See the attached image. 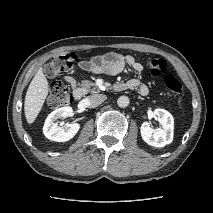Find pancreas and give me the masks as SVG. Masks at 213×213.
Masks as SVG:
<instances>
[{"label": "pancreas", "instance_id": "1", "mask_svg": "<svg viewBox=\"0 0 213 213\" xmlns=\"http://www.w3.org/2000/svg\"><path fill=\"white\" fill-rule=\"evenodd\" d=\"M81 88L85 94H87L88 92H94L97 90L96 85L93 82H90L88 80H83L81 82Z\"/></svg>", "mask_w": 213, "mask_h": 213}]
</instances>
